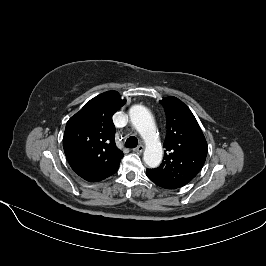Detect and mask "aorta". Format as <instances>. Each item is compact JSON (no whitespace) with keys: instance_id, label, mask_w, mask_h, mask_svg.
Segmentation results:
<instances>
[{"instance_id":"762f6f07","label":"aorta","mask_w":266,"mask_h":266,"mask_svg":"<svg viewBox=\"0 0 266 266\" xmlns=\"http://www.w3.org/2000/svg\"><path fill=\"white\" fill-rule=\"evenodd\" d=\"M129 116L133 126L146 144L144 162L150 168L159 166L162 161L163 150L151 113L142 105H134L129 110Z\"/></svg>"}]
</instances>
